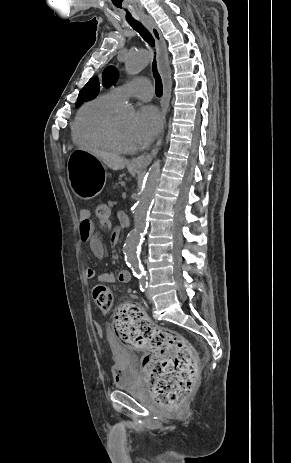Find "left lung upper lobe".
Returning a JSON list of instances; mask_svg holds the SVG:
<instances>
[{
    "instance_id": "left-lung-upper-lobe-1",
    "label": "left lung upper lobe",
    "mask_w": 291,
    "mask_h": 463,
    "mask_svg": "<svg viewBox=\"0 0 291 463\" xmlns=\"http://www.w3.org/2000/svg\"><path fill=\"white\" fill-rule=\"evenodd\" d=\"M118 78L117 70L110 66L105 68L102 74V85L104 87H109L116 82ZM100 90V82L98 77H92L87 84L81 89L78 95V102L76 106H80L84 101L91 100L95 98Z\"/></svg>"
}]
</instances>
